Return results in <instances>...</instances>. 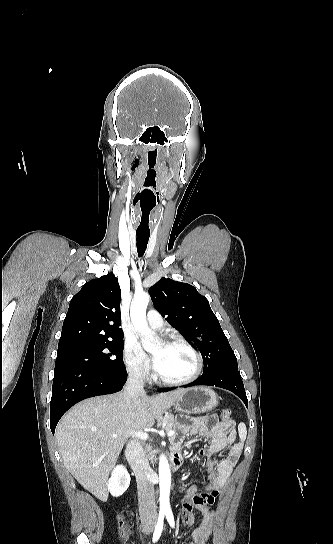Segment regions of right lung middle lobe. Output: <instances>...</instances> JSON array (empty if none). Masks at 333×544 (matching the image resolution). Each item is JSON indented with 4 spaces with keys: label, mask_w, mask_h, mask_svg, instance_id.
I'll use <instances>...</instances> for the list:
<instances>
[{
    "label": "right lung middle lobe",
    "mask_w": 333,
    "mask_h": 544,
    "mask_svg": "<svg viewBox=\"0 0 333 544\" xmlns=\"http://www.w3.org/2000/svg\"><path fill=\"white\" fill-rule=\"evenodd\" d=\"M120 338V341L118 340ZM123 336L76 344L57 351L55 363L72 362L114 375H127L123 363Z\"/></svg>",
    "instance_id": "1"
}]
</instances>
